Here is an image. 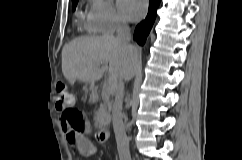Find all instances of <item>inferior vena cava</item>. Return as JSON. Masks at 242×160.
<instances>
[{
  "instance_id": "inferior-vena-cava-1",
  "label": "inferior vena cava",
  "mask_w": 242,
  "mask_h": 160,
  "mask_svg": "<svg viewBox=\"0 0 242 160\" xmlns=\"http://www.w3.org/2000/svg\"><path fill=\"white\" fill-rule=\"evenodd\" d=\"M117 41L125 48L123 58L119 63L117 74V87L115 90V99L112 106V122L117 142V149L120 160H131L129 152V141L126 136L123 123V98H124V81H132L134 73H140L138 67V47L133 46L131 41L130 28L125 23H120L117 27Z\"/></svg>"
}]
</instances>
